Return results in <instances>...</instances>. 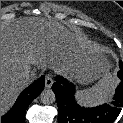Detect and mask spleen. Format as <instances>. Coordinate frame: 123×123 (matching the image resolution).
<instances>
[{"label": "spleen", "mask_w": 123, "mask_h": 123, "mask_svg": "<svg viewBox=\"0 0 123 123\" xmlns=\"http://www.w3.org/2000/svg\"><path fill=\"white\" fill-rule=\"evenodd\" d=\"M117 84V79L111 73H108L96 85L77 92L75 96L80 105L97 106L109 101Z\"/></svg>", "instance_id": "spleen-1"}]
</instances>
